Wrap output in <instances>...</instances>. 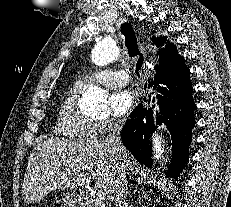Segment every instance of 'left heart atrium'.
<instances>
[{"label": "left heart atrium", "instance_id": "39dd6f15", "mask_svg": "<svg viewBox=\"0 0 231 207\" xmlns=\"http://www.w3.org/2000/svg\"><path fill=\"white\" fill-rule=\"evenodd\" d=\"M134 103V94L128 89H120L110 97V109L114 116L120 117L126 114Z\"/></svg>", "mask_w": 231, "mask_h": 207}]
</instances>
